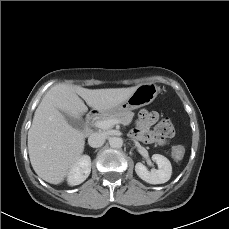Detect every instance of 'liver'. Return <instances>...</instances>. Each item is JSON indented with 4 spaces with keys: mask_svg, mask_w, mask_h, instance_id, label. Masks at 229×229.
Instances as JSON below:
<instances>
[{
    "mask_svg": "<svg viewBox=\"0 0 229 229\" xmlns=\"http://www.w3.org/2000/svg\"><path fill=\"white\" fill-rule=\"evenodd\" d=\"M137 87L87 89L63 83L51 87L28 131V153L36 174L48 183L60 184L84 151V133L72 127L63 113L80 119L88 111L83 100L102 113L127 100Z\"/></svg>",
    "mask_w": 229,
    "mask_h": 229,
    "instance_id": "obj_1",
    "label": "liver"
}]
</instances>
